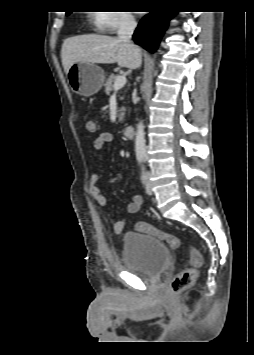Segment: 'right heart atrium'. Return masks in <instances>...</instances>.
I'll return each mask as SVG.
<instances>
[{
    "instance_id": "1",
    "label": "right heart atrium",
    "mask_w": 254,
    "mask_h": 355,
    "mask_svg": "<svg viewBox=\"0 0 254 355\" xmlns=\"http://www.w3.org/2000/svg\"><path fill=\"white\" fill-rule=\"evenodd\" d=\"M95 28L103 33H115L119 29L131 28L135 19L129 11H98L92 18Z\"/></svg>"
}]
</instances>
